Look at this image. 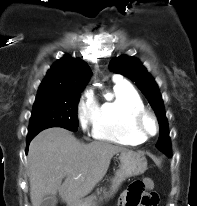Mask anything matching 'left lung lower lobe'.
<instances>
[{
    "label": "left lung lower lobe",
    "instance_id": "left-lung-lower-lobe-1",
    "mask_svg": "<svg viewBox=\"0 0 197 206\" xmlns=\"http://www.w3.org/2000/svg\"><path fill=\"white\" fill-rule=\"evenodd\" d=\"M169 157H171V151L166 153Z\"/></svg>",
    "mask_w": 197,
    "mask_h": 206
}]
</instances>
